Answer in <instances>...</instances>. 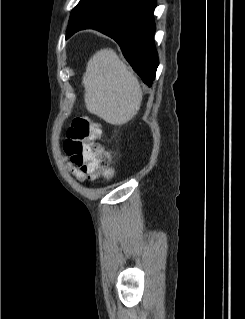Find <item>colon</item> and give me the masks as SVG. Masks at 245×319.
Segmentation results:
<instances>
[{
    "mask_svg": "<svg viewBox=\"0 0 245 319\" xmlns=\"http://www.w3.org/2000/svg\"><path fill=\"white\" fill-rule=\"evenodd\" d=\"M101 136L100 125L82 116L72 121L66 133V154L71 162L92 180L110 178L113 173L111 156L98 142Z\"/></svg>",
    "mask_w": 245,
    "mask_h": 319,
    "instance_id": "5ec220e1",
    "label": "colon"
}]
</instances>
